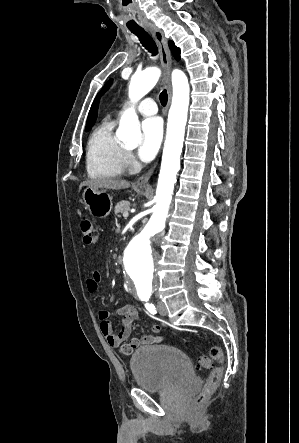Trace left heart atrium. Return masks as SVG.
<instances>
[{"label": "left heart atrium", "instance_id": "obj_1", "mask_svg": "<svg viewBox=\"0 0 299 443\" xmlns=\"http://www.w3.org/2000/svg\"><path fill=\"white\" fill-rule=\"evenodd\" d=\"M163 122L160 117H150L142 123V138L138 147V155L141 160H151L162 140Z\"/></svg>", "mask_w": 299, "mask_h": 443}]
</instances>
